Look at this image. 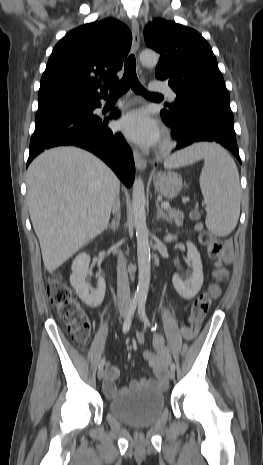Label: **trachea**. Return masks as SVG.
I'll return each instance as SVG.
<instances>
[{
	"label": "trachea",
	"instance_id": "1",
	"mask_svg": "<svg viewBox=\"0 0 263 465\" xmlns=\"http://www.w3.org/2000/svg\"><path fill=\"white\" fill-rule=\"evenodd\" d=\"M110 96H121L130 87L136 94H141L145 97H162L160 94L150 93L144 89L137 78L136 60L134 55H130L124 65V75L121 81L114 85H109Z\"/></svg>",
	"mask_w": 263,
	"mask_h": 465
}]
</instances>
